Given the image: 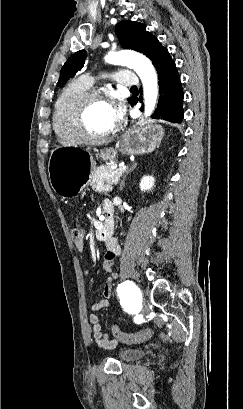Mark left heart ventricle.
Instances as JSON below:
<instances>
[{"mask_svg": "<svg viewBox=\"0 0 243 409\" xmlns=\"http://www.w3.org/2000/svg\"><path fill=\"white\" fill-rule=\"evenodd\" d=\"M113 106L105 101L90 103L85 111L84 120L89 133L100 135L114 128Z\"/></svg>", "mask_w": 243, "mask_h": 409, "instance_id": "obj_1", "label": "left heart ventricle"}]
</instances>
